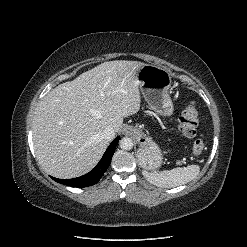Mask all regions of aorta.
<instances>
[{"mask_svg":"<svg viewBox=\"0 0 247 247\" xmlns=\"http://www.w3.org/2000/svg\"><path fill=\"white\" fill-rule=\"evenodd\" d=\"M119 146L123 150H131L133 148V140L129 137H123L119 142Z\"/></svg>","mask_w":247,"mask_h":247,"instance_id":"762f6f07","label":"aorta"}]
</instances>
